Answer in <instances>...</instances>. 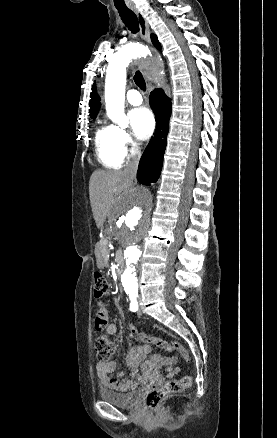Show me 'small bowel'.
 I'll list each match as a JSON object with an SVG mask.
<instances>
[{"instance_id": "1", "label": "small bowel", "mask_w": 277, "mask_h": 438, "mask_svg": "<svg viewBox=\"0 0 277 438\" xmlns=\"http://www.w3.org/2000/svg\"><path fill=\"white\" fill-rule=\"evenodd\" d=\"M129 331L136 333L138 328L133 326ZM106 332L110 335H115L118 332V326L115 323H109L106 326ZM139 340H145L146 334L139 333ZM149 353L148 346H137L132 348L126 356V364L130 368L128 377L125 376L122 370L117 369V364L114 361L98 362L96 365V374L101 384L106 387L116 389L121 392L129 390L136 381L142 378L137 367H140L142 374L147 375L157 367H164L166 377H173L179 368L175 365V360L165 356H155L150 360H144Z\"/></svg>"}]
</instances>
